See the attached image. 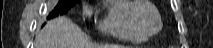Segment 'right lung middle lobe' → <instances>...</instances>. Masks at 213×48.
<instances>
[{
	"mask_svg": "<svg viewBox=\"0 0 213 48\" xmlns=\"http://www.w3.org/2000/svg\"><path fill=\"white\" fill-rule=\"evenodd\" d=\"M78 2V0H59L57 6L54 8V10L49 14L48 18H53L56 17L58 15H63L66 12L69 11V9H71L76 3Z\"/></svg>",
	"mask_w": 213,
	"mask_h": 48,
	"instance_id": "1",
	"label": "right lung middle lobe"
}]
</instances>
